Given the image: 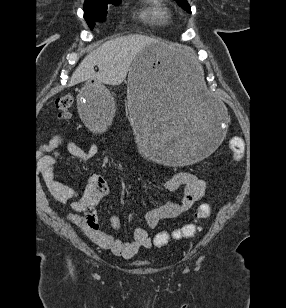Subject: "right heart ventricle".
<instances>
[{
  "label": "right heart ventricle",
  "mask_w": 286,
  "mask_h": 308,
  "mask_svg": "<svg viewBox=\"0 0 286 308\" xmlns=\"http://www.w3.org/2000/svg\"><path fill=\"white\" fill-rule=\"evenodd\" d=\"M137 13L142 21L157 26L168 24L172 16L164 0H143Z\"/></svg>",
  "instance_id": "e07e8e85"
}]
</instances>
